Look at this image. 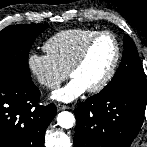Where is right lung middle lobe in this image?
Returning <instances> with one entry per match:
<instances>
[{"label": "right lung middle lobe", "mask_w": 147, "mask_h": 147, "mask_svg": "<svg viewBox=\"0 0 147 147\" xmlns=\"http://www.w3.org/2000/svg\"><path fill=\"white\" fill-rule=\"evenodd\" d=\"M47 24L12 25L0 32V76L31 82L29 50Z\"/></svg>", "instance_id": "right-lung-middle-lobe-1"}]
</instances>
